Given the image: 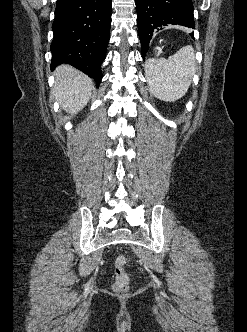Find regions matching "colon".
I'll return each instance as SVG.
<instances>
[{"label": "colon", "mask_w": 247, "mask_h": 332, "mask_svg": "<svg viewBox=\"0 0 247 332\" xmlns=\"http://www.w3.org/2000/svg\"><path fill=\"white\" fill-rule=\"evenodd\" d=\"M127 259L124 255H118L114 262L115 279L112 285L116 293H126L129 289V275L125 270Z\"/></svg>", "instance_id": "1"}]
</instances>
